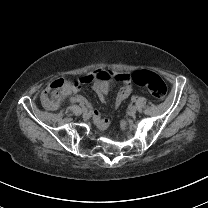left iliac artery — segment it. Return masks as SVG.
I'll return each instance as SVG.
<instances>
[{
    "label": "left iliac artery",
    "instance_id": "1",
    "mask_svg": "<svg viewBox=\"0 0 208 208\" xmlns=\"http://www.w3.org/2000/svg\"><path fill=\"white\" fill-rule=\"evenodd\" d=\"M131 101H132V102H135V101H136V98H135V97H132V98H131Z\"/></svg>",
    "mask_w": 208,
    "mask_h": 208
}]
</instances>
